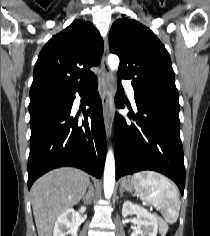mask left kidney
Returning <instances> with one entry per match:
<instances>
[{"label":"left kidney","instance_id":"obj_1","mask_svg":"<svg viewBox=\"0 0 210 236\" xmlns=\"http://www.w3.org/2000/svg\"><path fill=\"white\" fill-rule=\"evenodd\" d=\"M137 216V229L131 236H157L158 232V218L156 215L151 214L143 207L133 204L130 201H125L122 206V215Z\"/></svg>","mask_w":210,"mask_h":236}]
</instances>
